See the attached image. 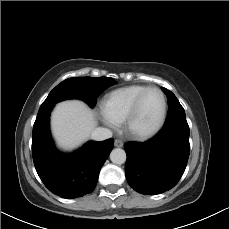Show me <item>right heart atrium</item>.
I'll return each instance as SVG.
<instances>
[{"instance_id": "1", "label": "right heart atrium", "mask_w": 229, "mask_h": 229, "mask_svg": "<svg viewBox=\"0 0 229 229\" xmlns=\"http://www.w3.org/2000/svg\"><path fill=\"white\" fill-rule=\"evenodd\" d=\"M102 117H103V121L104 123L111 127V128H116L118 123L116 121H114L113 119H111L108 115L105 114V112L102 110Z\"/></svg>"}]
</instances>
